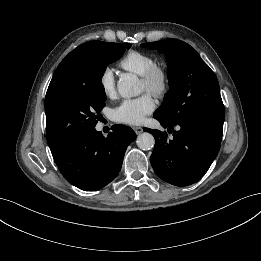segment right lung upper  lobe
<instances>
[{"mask_svg": "<svg viewBox=\"0 0 261 261\" xmlns=\"http://www.w3.org/2000/svg\"><path fill=\"white\" fill-rule=\"evenodd\" d=\"M102 41H90L78 46L69 53L57 67L49 84L46 97H49L62 87L82 79L80 61L84 49L99 44Z\"/></svg>", "mask_w": 261, "mask_h": 261, "instance_id": "right-lung-upper-lobe-1", "label": "right lung upper lobe"}]
</instances>
